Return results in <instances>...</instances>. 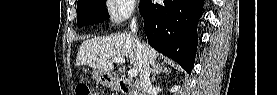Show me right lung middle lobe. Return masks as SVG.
Wrapping results in <instances>:
<instances>
[{"mask_svg":"<svg viewBox=\"0 0 277 95\" xmlns=\"http://www.w3.org/2000/svg\"><path fill=\"white\" fill-rule=\"evenodd\" d=\"M106 0H80L77 3L78 27L100 22L109 17L105 9Z\"/></svg>","mask_w":277,"mask_h":95,"instance_id":"dd1d6c3e","label":"right lung middle lobe"}]
</instances>
